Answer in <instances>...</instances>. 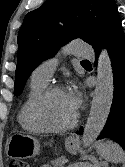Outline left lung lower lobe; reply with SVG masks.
<instances>
[{
  "label": "left lung lower lobe",
  "mask_w": 125,
  "mask_h": 167,
  "mask_svg": "<svg viewBox=\"0 0 125 167\" xmlns=\"http://www.w3.org/2000/svg\"><path fill=\"white\" fill-rule=\"evenodd\" d=\"M101 47L107 49L111 59L114 94L107 122L98 139H111L125 150V37L120 17L112 24L104 39L93 46L96 58ZM77 133L83 134V129Z\"/></svg>",
  "instance_id": "1"
}]
</instances>
